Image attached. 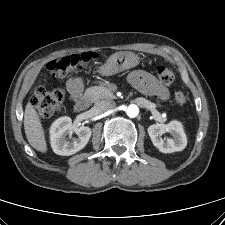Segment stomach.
<instances>
[{
    "label": "stomach",
    "instance_id": "0dacf381",
    "mask_svg": "<svg viewBox=\"0 0 225 225\" xmlns=\"http://www.w3.org/2000/svg\"><path fill=\"white\" fill-rule=\"evenodd\" d=\"M139 61V56L133 52H116L100 66L98 72L103 76H111L137 66Z\"/></svg>",
    "mask_w": 225,
    "mask_h": 225
}]
</instances>
